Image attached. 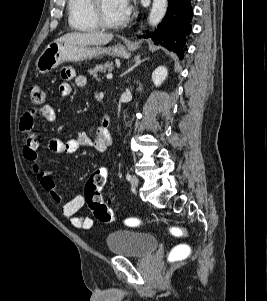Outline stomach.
Returning a JSON list of instances; mask_svg holds the SVG:
<instances>
[{"label":"stomach","mask_w":267,"mask_h":301,"mask_svg":"<svg viewBox=\"0 0 267 301\" xmlns=\"http://www.w3.org/2000/svg\"><path fill=\"white\" fill-rule=\"evenodd\" d=\"M103 54L122 58H129L131 55L129 50L121 44L104 48L54 41L48 44L38 57L36 69L39 73L46 74L64 62H80Z\"/></svg>","instance_id":"1"}]
</instances>
